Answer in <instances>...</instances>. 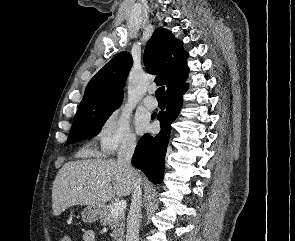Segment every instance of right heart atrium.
<instances>
[{
  "instance_id": "obj_1",
  "label": "right heart atrium",
  "mask_w": 295,
  "mask_h": 241,
  "mask_svg": "<svg viewBox=\"0 0 295 241\" xmlns=\"http://www.w3.org/2000/svg\"><path fill=\"white\" fill-rule=\"evenodd\" d=\"M95 138L104 155H112L120 148H129L136 144L129 118L120 109L111 111L102 119Z\"/></svg>"
}]
</instances>
